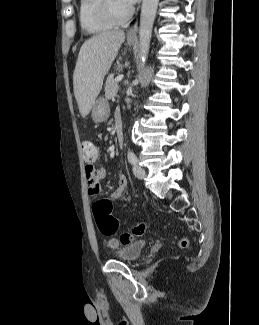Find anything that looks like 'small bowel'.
Instances as JSON below:
<instances>
[{"label": "small bowel", "instance_id": "1", "mask_svg": "<svg viewBox=\"0 0 259 325\" xmlns=\"http://www.w3.org/2000/svg\"><path fill=\"white\" fill-rule=\"evenodd\" d=\"M117 113H119L118 110L115 112V115ZM98 157L94 161H85V177L87 183V191L90 196H96L100 193L101 180L106 176V170L98 162ZM127 185V178L124 175H121L119 177L118 187L111 193V198L114 200H127Z\"/></svg>", "mask_w": 259, "mask_h": 325}]
</instances>
